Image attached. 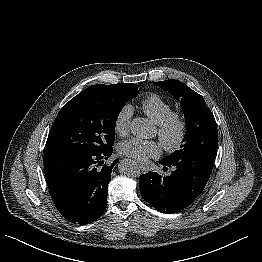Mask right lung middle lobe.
Wrapping results in <instances>:
<instances>
[{
    "label": "right lung middle lobe",
    "mask_w": 262,
    "mask_h": 262,
    "mask_svg": "<svg viewBox=\"0 0 262 262\" xmlns=\"http://www.w3.org/2000/svg\"><path fill=\"white\" fill-rule=\"evenodd\" d=\"M139 93L138 85L122 83L118 88L93 85L66 103L49 132L45 149L102 152L114 143L116 119Z\"/></svg>",
    "instance_id": "obj_1"
}]
</instances>
